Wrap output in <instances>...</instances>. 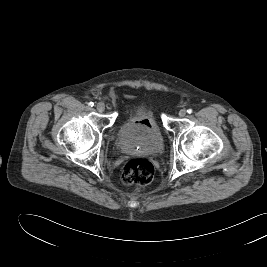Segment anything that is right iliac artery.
<instances>
[{"label": "right iliac artery", "instance_id": "obj_1", "mask_svg": "<svg viewBox=\"0 0 267 267\" xmlns=\"http://www.w3.org/2000/svg\"><path fill=\"white\" fill-rule=\"evenodd\" d=\"M88 106L93 107L94 106V103L93 102H89L88 103Z\"/></svg>", "mask_w": 267, "mask_h": 267}]
</instances>
